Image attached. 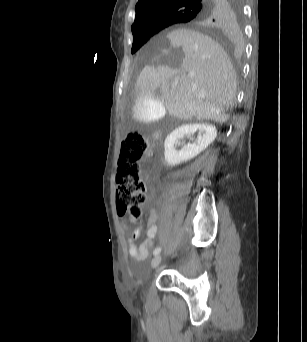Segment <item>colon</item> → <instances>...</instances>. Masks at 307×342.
<instances>
[{
  "mask_svg": "<svg viewBox=\"0 0 307 342\" xmlns=\"http://www.w3.org/2000/svg\"><path fill=\"white\" fill-rule=\"evenodd\" d=\"M150 141L139 132H129L124 138L119 157V171L115 191L120 215L138 219L146 201V186L139 176V161L144 159Z\"/></svg>",
  "mask_w": 307,
  "mask_h": 342,
  "instance_id": "1",
  "label": "colon"
}]
</instances>
